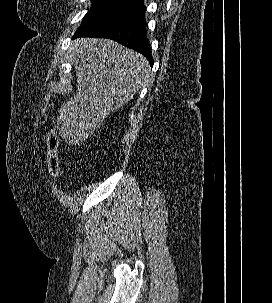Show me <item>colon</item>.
Here are the masks:
<instances>
[{"instance_id":"colon-1","label":"colon","mask_w":272,"mask_h":303,"mask_svg":"<svg viewBox=\"0 0 272 303\" xmlns=\"http://www.w3.org/2000/svg\"><path fill=\"white\" fill-rule=\"evenodd\" d=\"M60 138L55 130H50L47 137L46 167L50 176L56 177L60 171Z\"/></svg>"}]
</instances>
